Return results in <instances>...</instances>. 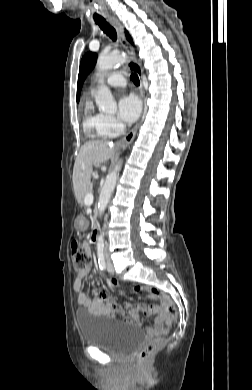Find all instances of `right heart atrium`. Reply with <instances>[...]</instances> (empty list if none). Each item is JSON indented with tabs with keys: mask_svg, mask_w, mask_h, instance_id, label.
<instances>
[{
	"mask_svg": "<svg viewBox=\"0 0 252 390\" xmlns=\"http://www.w3.org/2000/svg\"><path fill=\"white\" fill-rule=\"evenodd\" d=\"M123 124L114 116L101 114L100 131L106 137H113L120 133Z\"/></svg>",
	"mask_w": 252,
	"mask_h": 390,
	"instance_id": "1",
	"label": "right heart atrium"
}]
</instances>
